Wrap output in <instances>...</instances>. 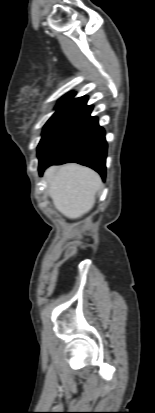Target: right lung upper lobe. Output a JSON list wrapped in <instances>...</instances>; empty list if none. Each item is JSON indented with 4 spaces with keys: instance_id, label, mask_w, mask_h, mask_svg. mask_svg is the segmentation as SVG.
<instances>
[{
    "instance_id": "obj_1",
    "label": "right lung upper lobe",
    "mask_w": 155,
    "mask_h": 413,
    "mask_svg": "<svg viewBox=\"0 0 155 413\" xmlns=\"http://www.w3.org/2000/svg\"><path fill=\"white\" fill-rule=\"evenodd\" d=\"M75 93H68L66 94L63 98H61L58 101V104L56 105V109L61 110L64 108H69V107H80L83 103L87 102L88 97L83 96L79 98H73Z\"/></svg>"
}]
</instances>
